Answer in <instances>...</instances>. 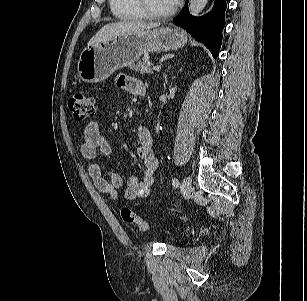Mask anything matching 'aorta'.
Segmentation results:
<instances>
[{"label": "aorta", "mask_w": 307, "mask_h": 301, "mask_svg": "<svg viewBox=\"0 0 307 301\" xmlns=\"http://www.w3.org/2000/svg\"><path fill=\"white\" fill-rule=\"evenodd\" d=\"M208 0H190L189 11L192 15H199L205 8Z\"/></svg>", "instance_id": "1"}]
</instances>
